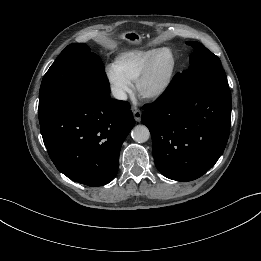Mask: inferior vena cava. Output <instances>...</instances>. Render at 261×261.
Returning a JSON list of instances; mask_svg holds the SVG:
<instances>
[{
	"label": "inferior vena cava",
	"instance_id": "602c4592",
	"mask_svg": "<svg viewBox=\"0 0 261 261\" xmlns=\"http://www.w3.org/2000/svg\"><path fill=\"white\" fill-rule=\"evenodd\" d=\"M112 95L119 100L127 99V94L119 88H112Z\"/></svg>",
	"mask_w": 261,
	"mask_h": 261
}]
</instances>
